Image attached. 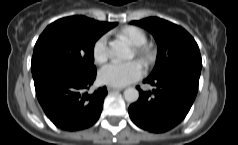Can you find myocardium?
<instances>
[{"label": "myocardium", "instance_id": "myocardium-1", "mask_svg": "<svg viewBox=\"0 0 238 145\" xmlns=\"http://www.w3.org/2000/svg\"><path fill=\"white\" fill-rule=\"evenodd\" d=\"M138 52H139L140 54L145 55V54L150 53V52H151V49L148 48V47H142V48H140V49L138 50Z\"/></svg>", "mask_w": 238, "mask_h": 145}]
</instances>
